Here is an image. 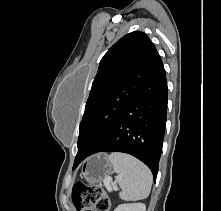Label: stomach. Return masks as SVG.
Listing matches in <instances>:
<instances>
[{"instance_id":"0dacf381","label":"stomach","mask_w":221,"mask_h":211,"mask_svg":"<svg viewBox=\"0 0 221 211\" xmlns=\"http://www.w3.org/2000/svg\"><path fill=\"white\" fill-rule=\"evenodd\" d=\"M112 165L105 154L88 158L81 169V175L90 184L101 183L111 174Z\"/></svg>"}]
</instances>
